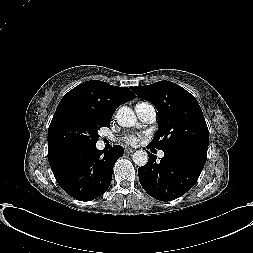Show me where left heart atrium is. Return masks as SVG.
<instances>
[{"instance_id":"1","label":"left heart atrium","mask_w":253,"mask_h":253,"mask_svg":"<svg viewBox=\"0 0 253 253\" xmlns=\"http://www.w3.org/2000/svg\"><path fill=\"white\" fill-rule=\"evenodd\" d=\"M139 136L138 135H128V136H125L124 137V141L127 143V144H130V145H136L139 141Z\"/></svg>"}]
</instances>
